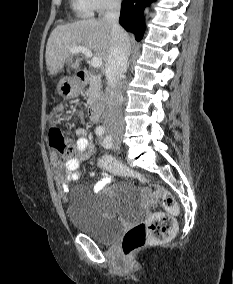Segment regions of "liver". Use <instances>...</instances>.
<instances>
[{"label": "liver", "instance_id": "6515ba94", "mask_svg": "<svg viewBox=\"0 0 233 284\" xmlns=\"http://www.w3.org/2000/svg\"><path fill=\"white\" fill-rule=\"evenodd\" d=\"M112 27L104 18L86 19L58 25L50 34L46 45V65L50 75H56L70 63L75 46H85L95 57L107 63L112 48ZM81 58L76 57L71 68L78 69Z\"/></svg>", "mask_w": 233, "mask_h": 284}]
</instances>
